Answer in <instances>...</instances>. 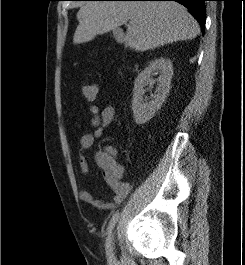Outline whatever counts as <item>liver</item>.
<instances>
[{"label":"liver","mask_w":245,"mask_h":265,"mask_svg":"<svg viewBox=\"0 0 245 265\" xmlns=\"http://www.w3.org/2000/svg\"><path fill=\"white\" fill-rule=\"evenodd\" d=\"M77 20L74 44L89 42L129 21L125 46L141 52L191 40L200 33L187 9L173 1H89L81 4Z\"/></svg>","instance_id":"1"}]
</instances>
